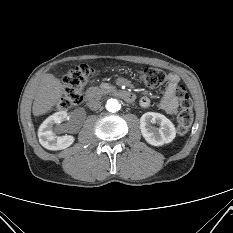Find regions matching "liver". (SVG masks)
<instances>
[{
  "label": "liver",
  "instance_id": "liver-1",
  "mask_svg": "<svg viewBox=\"0 0 233 233\" xmlns=\"http://www.w3.org/2000/svg\"><path fill=\"white\" fill-rule=\"evenodd\" d=\"M64 87L60 79L53 74H43L33 102L32 113L40 116L48 112L61 99Z\"/></svg>",
  "mask_w": 233,
  "mask_h": 233
}]
</instances>
